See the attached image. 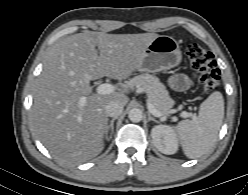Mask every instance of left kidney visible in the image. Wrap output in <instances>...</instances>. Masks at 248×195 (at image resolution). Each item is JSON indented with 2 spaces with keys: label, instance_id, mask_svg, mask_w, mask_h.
<instances>
[{
  "label": "left kidney",
  "instance_id": "1",
  "mask_svg": "<svg viewBox=\"0 0 248 195\" xmlns=\"http://www.w3.org/2000/svg\"><path fill=\"white\" fill-rule=\"evenodd\" d=\"M151 136L155 147L162 153L170 155L178 150L177 136L172 127L157 125L151 130Z\"/></svg>",
  "mask_w": 248,
  "mask_h": 195
}]
</instances>
